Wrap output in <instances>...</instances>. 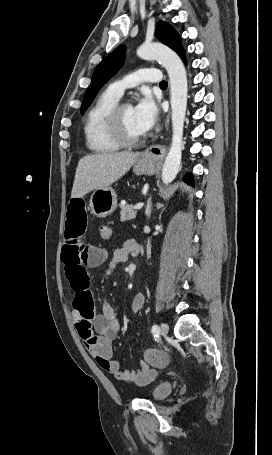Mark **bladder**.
<instances>
[{
    "label": "bladder",
    "mask_w": 272,
    "mask_h": 455,
    "mask_svg": "<svg viewBox=\"0 0 272 455\" xmlns=\"http://www.w3.org/2000/svg\"><path fill=\"white\" fill-rule=\"evenodd\" d=\"M172 390L173 384L170 381H160L151 388L150 397L155 401H160L168 397Z\"/></svg>",
    "instance_id": "obj_1"
}]
</instances>
